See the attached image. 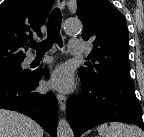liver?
<instances>
[{
	"mask_svg": "<svg viewBox=\"0 0 144 137\" xmlns=\"http://www.w3.org/2000/svg\"><path fill=\"white\" fill-rule=\"evenodd\" d=\"M44 130L31 118L0 109V137H43Z\"/></svg>",
	"mask_w": 144,
	"mask_h": 137,
	"instance_id": "1",
	"label": "liver"
}]
</instances>
